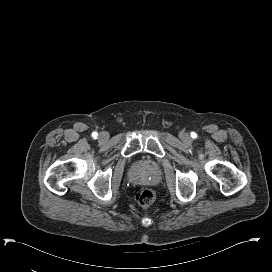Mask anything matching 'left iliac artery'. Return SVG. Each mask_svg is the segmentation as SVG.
<instances>
[{
    "instance_id": "obj_1",
    "label": "left iliac artery",
    "mask_w": 272,
    "mask_h": 272,
    "mask_svg": "<svg viewBox=\"0 0 272 272\" xmlns=\"http://www.w3.org/2000/svg\"><path fill=\"white\" fill-rule=\"evenodd\" d=\"M191 136H192L193 138H196V134H195L194 132L191 134Z\"/></svg>"
}]
</instances>
